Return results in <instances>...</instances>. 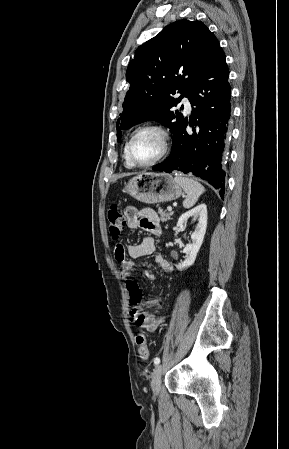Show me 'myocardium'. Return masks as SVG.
<instances>
[{
  "mask_svg": "<svg viewBox=\"0 0 289 449\" xmlns=\"http://www.w3.org/2000/svg\"><path fill=\"white\" fill-rule=\"evenodd\" d=\"M144 132H153L155 133L159 139H160V143H161V148H160V152L159 154L151 161L146 162V163H140L137 162L132 154V146H133V142L134 140L142 133ZM170 148V134L168 132V130L160 125V124H156V123H149V124H145L143 126H140L139 128H137L131 135L128 143H127V155L128 158L130 160V162L137 167H150L152 165H155L156 163H158L159 161H161L166 154L168 153Z\"/></svg>",
  "mask_w": 289,
  "mask_h": 449,
  "instance_id": "f54148a6",
  "label": "myocardium"
}]
</instances>
